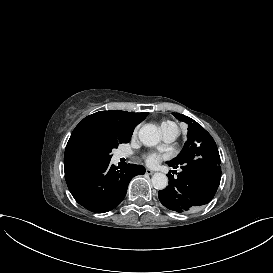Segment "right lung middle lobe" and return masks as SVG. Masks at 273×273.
Here are the masks:
<instances>
[{"label":"right lung middle lobe","mask_w":273,"mask_h":273,"mask_svg":"<svg viewBox=\"0 0 273 273\" xmlns=\"http://www.w3.org/2000/svg\"><path fill=\"white\" fill-rule=\"evenodd\" d=\"M118 144L114 139L90 137L82 142L80 152L94 165L108 163L112 157V149L117 148Z\"/></svg>","instance_id":"dd1d6c3e"}]
</instances>
